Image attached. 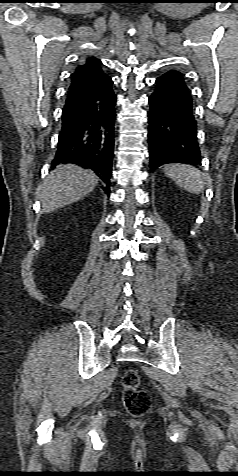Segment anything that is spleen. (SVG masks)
<instances>
[{"instance_id": "spleen-1", "label": "spleen", "mask_w": 238, "mask_h": 476, "mask_svg": "<svg viewBox=\"0 0 238 476\" xmlns=\"http://www.w3.org/2000/svg\"><path fill=\"white\" fill-rule=\"evenodd\" d=\"M164 173L188 192L199 194L204 189L202 172L185 164H170L163 167Z\"/></svg>"}]
</instances>
